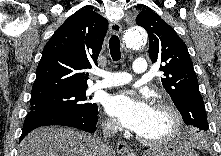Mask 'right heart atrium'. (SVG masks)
Listing matches in <instances>:
<instances>
[{
	"label": "right heart atrium",
	"instance_id": "1",
	"mask_svg": "<svg viewBox=\"0 0 221 156\" xmlns=\"http://www.w3.org/2000/svg\"><path fill=\"white\" fill-rule=\"evenodd\" d=\"M104 128H105L106 131L112 132V131L116 130V124L113 120L106 119V121L104 123Z\"/></svg>",
	"mask_w": 221,
	"mask_h": 156
}]
</instances>
